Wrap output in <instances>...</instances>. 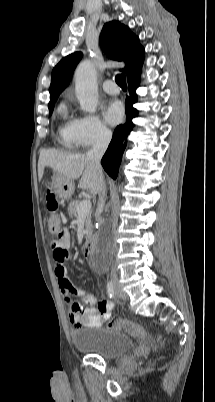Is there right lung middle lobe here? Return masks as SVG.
Masks as SVG:
<instances>
[{"label": "right lung middle lobe", "mask_w": 215, "mask_h": 402, "mask_svg": "<svg viewBox=\"0 0 215 402\" xmlns=\"http://www.w3.org/2000/svg\"><path fill=\"white\" fill-rule=\"evenodd\" d=\"M56 100H57V98H54V99H51L49 102V114L50 115L52 114Z\"/></svg>", "instance_id": "dd1d6c3e"}]
</instances>
